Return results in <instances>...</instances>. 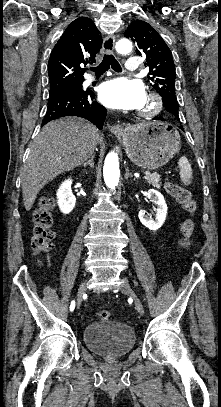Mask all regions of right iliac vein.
Here are the masks:
<instances>
[{
	"mask_svg": "<svg viewBox=\"0 0 221 407\" xmlns=\"http://www.w3.org/2000/svg\"><path fill=\"white\" fill-rule=\"evenodd\" d=\"M85 292H86V284L83 281L80 284V286L78 288V292H77V308L78 309L81 307L82 300H83V295L85 294Z\"/></svg>",
	"mask_w": 221,
	"mask_h": 407,
	"instance_id": "1",
	"label": "right iliac vein"
}]
</instances>
